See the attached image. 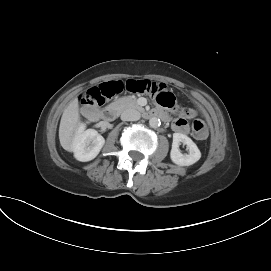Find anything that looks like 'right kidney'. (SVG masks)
Instances as JSON below:
<instances>
[{"instance_id":"1","label":"right kidney","mask_w":271,"mask_h":271,"mask_svg":"<svg viewBox=\"0 0 271 271\" xmlns=\"http://www.w3.org/2000/svg\"><path fill=\"white\" fill-rule=\"evenodd\" d=\"M104 143L105 139L96 130H85V125L81 124L77 129L72 151L77 160L87 162L99 154Z\"/></svg>"}]
</instances>
